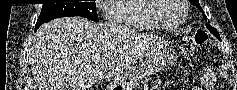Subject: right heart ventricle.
I'll return each mask as SVG.
<instances>
[{
    "label": "right heart ventricle",
    "mask_w": 237,
    "mask_h": 90,
    "mask_svg": "<svg viewBox=\"0 0 237 90\" xmlns=\"http://www.w3.org/2000/svg\"><path fill=\"white\" fill-rule=\"evenodd\" d=\"M146 7H153L150 0H118L108 7V24L114 28L156 29V23L151 20L152 14H144Z\"/></svg>",
    "instance_id": "obj_1"
}]
</instances>
